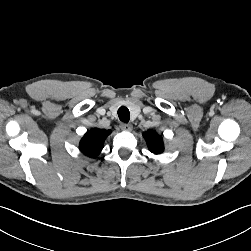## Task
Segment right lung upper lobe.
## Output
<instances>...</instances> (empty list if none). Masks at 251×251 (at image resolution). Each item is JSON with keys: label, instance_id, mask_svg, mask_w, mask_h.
<instances>
[{"label": "right lung upper lobe", "instance_id": "1", "mask_svg": "<svg viewBox=\"0 0 251 251\" xmlns=\"http://www.w3.org/2000/svg\"><path fill=\"white\" fill-rule=\"evenodd\" d=\"M111 130L94 128L88 131L80 141L79 149L88 157H96L103 149L105 139Z\"/></svg>", "mask_w": 251, "mask_h": 251}]
</instances>
